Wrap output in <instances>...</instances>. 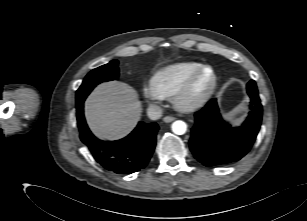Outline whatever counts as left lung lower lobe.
Instances as JSON below:
<instances>
[{
  "mask_svg": "<svg viewBox=\"0 0 307 221\" xmlns=\"http://www.w3.org/2000/svg\"><path fill=\"white\" fill-rule=\"evenodd\" d=\"M251 112L241 127L232 128L219 114L212 99L195 114L191 129L190 149L194 157L207 167L239 161L251 149L262 120V105L256 88H247Z\"/></svg>",
  "mask_w": 307,
  "mask_h": 221,
  "instance_id": "0a47b994",
  "label": "left lung lower lobe"
}]
</instances>
